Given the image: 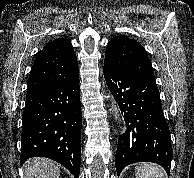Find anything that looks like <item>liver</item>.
<instances>
[{
	"label": "liver",
	"mask_w": 194,
	"mask_h": 178,
	"mask_svg": "<svg viewBox=\"0 0 194 178\" xmlns=\"http://www.w3.org/2000/svg\"><path fill=\"white\" fill-rule=\"evenodd\" d=\"M24 176L25 178H59V165L47 158H32L24 165Z\"/></svg>",
	"instance_id": "obj_1"
}]
</instances>
